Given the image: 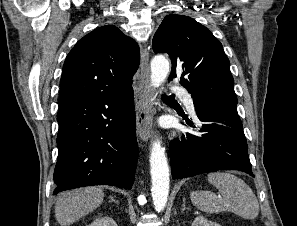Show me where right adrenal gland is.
I'll return each mask as SVG.
<instances>
[{
	"mask_svg": "<svg viewBox=\"0 0 297 226\" xmlns=\"http://www.w3.org/2000/svg\"><path fill=\"white\" fill-rule=\"evenodd\" d=\"M111 201L115 202V203H119L118 201H116L113 197H111Z\"/></svg>",
	"mask_w": 297,
	"mask_h": 226,
	"instance_id": "1",
	"label": "right adrenal gland"
}]
</instances>
